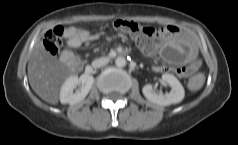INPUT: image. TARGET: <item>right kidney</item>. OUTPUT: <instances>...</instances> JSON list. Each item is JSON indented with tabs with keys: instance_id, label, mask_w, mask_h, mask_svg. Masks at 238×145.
Listing matches in <instances>:
<instances>
[{
	"instance_id": "obj_1",
	"label": "right kidney",
	"mask_w": 238,
	"mask_h": 145,
	"mask_svg": "<svg viewBox=\"0 0 238 145\" xmlns=\"http://www.w3.org/2000/svg\"><path fill=\"white\" fill-rule=\"evenodd\" d=\"M94 83V77L89 74H83L79 78L71 75L63 83L60 90V101L62 104L74 105L85 99ZM80 86L74 92V89Z\"/></svg>"
}]
</instances>
